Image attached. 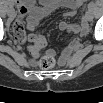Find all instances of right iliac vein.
<instances>
[{
  "mask_svg": "<svg viewBox=\"0 0 103 103\" xmlns=\"http://www.w3.org/2000/svg\"><path fill=\"white\" fill-rule=\"evenodd\" d=\"M7 13L10 17H13V15H14L13 9H8Z\"/></svg>",
  "mask_w": 103,
  "mask_h": 103,
  "instance_id": "1",
  "label": "right iliac vein"
}]
</instances>
